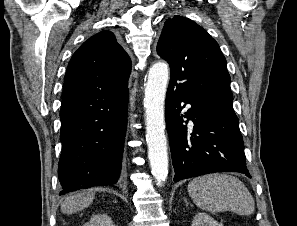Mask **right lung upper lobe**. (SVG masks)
Instances as JSON below:
<instances>
[{"label":"right lung upper lobe","instance_id":"cb5924a9","mask_svg":"<svg viewBox=\"0 0 297 226\" xmlns=\"http://www.w3.org/2000/svg\"><path fill=\"white\" fill-rule=\"evenodd\" d=\"M131 60L110 31L90 37L73 54L64 78L62 99L91 91L128 86Z\"/></svg>","mask_w":297,"mask_h":226}]
</instances>
